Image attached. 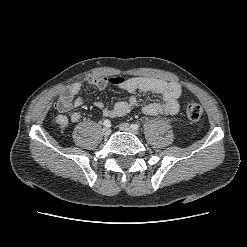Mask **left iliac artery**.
Returning a JSON list of instances; mask_svg holds the SVG:
<instances>
[{
    "mask_svg": "<svg viewBox=\"0 0 247 247\" xmlns=\"http://www.w3.org/2000/svg\"><path fill=\"white\" fill-rule=\"evenodd\" d=\"M131 127L137 130L140 127V125L138 123H134L131 125Z\"/></svg>",
    "mask_w": 247,
    "mask_h": 247,
    "instance_id": "obj_1",
    "label": "left iliac artery"
}]
</instances>
